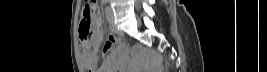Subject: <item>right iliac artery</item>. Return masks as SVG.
<instances>
[{
  "mask_svg": "<svg viewBox=\"0 0 267 72\" xmlns=\"http://www.w3.org/2000/svg\"><path fill=\"white\" fill-rule=\"evenodd\" d=\"M106 3H107V1L104 0V1H103V4L105 5Z\"/></svg>",
  "mask_w": 267,
  "mask_h": 72,
  "instance_id": "82829eb1",
  "label": "right iliac artery"
}]
</instances>
